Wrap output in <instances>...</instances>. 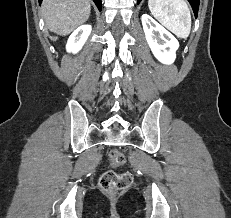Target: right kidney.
I'll use <instances>...</instances> for the list:
<instances>
[{
  "label": "right kidney",
  "instance_id": "obj_1",
  "mask_svg": "<svg viewBox=\"0 0 231 218\" xmlns=\"http://www.w3.org/2000/svg\"><path fill=\"white\" fill-rule=\"evenodd\" d=\"M91 25H82L78 27L69 37L66 45L68 52L77 53L85 42L87 41L91 33Z\"/></svg>",
  "mask_w": 231,
  "mask_h": 218
}]
</instances>
